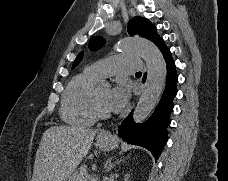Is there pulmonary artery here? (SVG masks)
<instances>
[{"mask_svg": "<svg viewBox=\"0 0 228 181\" xmlns=\"http://www.w3.org/2000/svg\"><path fill=\"white\" fill-rule=\"evenodd\" d=\"M91 75L102 78L112 75V71H140L139 57H105V62L89 65Z\"/></svg>", "mask_w": 228, "mask_h": 181, "instance_id": "pulmonary-artery-1", "label": "pulmonary artery"}]
</instances>
